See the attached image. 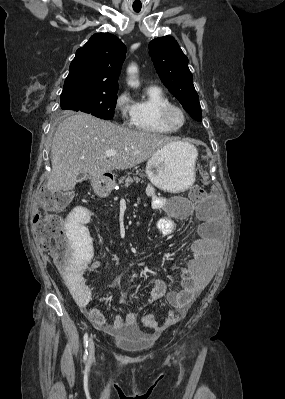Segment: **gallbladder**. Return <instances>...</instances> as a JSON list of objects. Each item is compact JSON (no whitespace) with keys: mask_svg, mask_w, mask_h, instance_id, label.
<instances>
[{"mask_svg":"<svg viewBox=\"0 0 285 399\" xmlns=\"http://www.w3.org/2000/svg\"><path fill=\"white\" fill-rule=\"evenodd\" d=\"M87 179V175L84 173H79L77 176V182H82Z\"/></svg>","mask_w":285,"mask_h":399,"instance_id":"bac80fb5","label":"gallbladder"}]
</instances>
